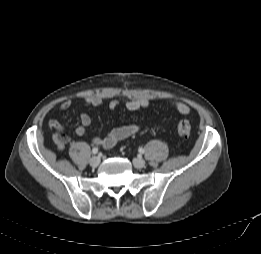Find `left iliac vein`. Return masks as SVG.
Wrapping results in <instances>:
<instances>
[{
	"label": "left iliac vein",
	"mask_w": 261,
	"mask_h": 254,
	"mask_svg": "<svg viewBox=\"0 0 261 254\" xmlns=\"http://www.w3.org/2000/svg\"><path fill=\"white\" fill-rule=\"evenodd\" d=\"M133 165L137 169H142L145 166V161L141 157H136L133 159Z\"/></svg>",
	"instance_id": "obj_1"
}]
</instances>
